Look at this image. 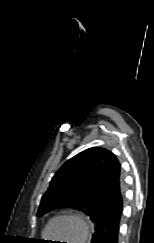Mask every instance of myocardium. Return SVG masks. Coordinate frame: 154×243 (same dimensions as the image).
I'll use <instances>...</instances> for the list:
<instances>
[{
	"instance_id": "f54148a6",
	"label": "myocardium",
	"mask_w": 154,
	"mask_h": 243,
	"mask_svg": "<svg viewBox=\"0 0 154 243\" xmlns=\"http://www.w3.org/2000/svg\"><path fill=\"white\" fill-rule=\"evenodd\" d=\"M60 219H69V220L75 221L78 224L79 231H80L79 239L77 240L76 243H85V241L88 237V234H89V226H88L87 221L84 219V217H82L81 215L76 214V213H60V214H57L54 217H52L50 219V221L48 222L46 229H45L46 236L49 235V230H50L52 224L55 221L60 220Z\"/></svg>"
}]
</instances>
